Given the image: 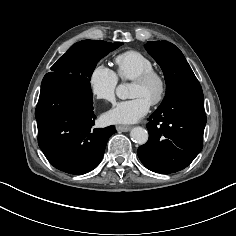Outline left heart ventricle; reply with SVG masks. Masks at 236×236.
<instances>
[{
	"label": "left heart ventricle",
	"instance_id": "b2bd125f",
	"mask_svg": "<svg viewBox=\"0 0 236 236\" xmlns=\"http://www.w3.org/2000/svg\"><path fill=\"white\" fill-rule=\"evenodd\" d=\"M158 89L159 86L156 81H152L145 85L133 82L130 89V97L140 96L151 103V101L155 98Z\"/></svg>",
	"mask_w": 236,
	"mask_h": 236
}]
</instances>
